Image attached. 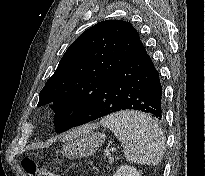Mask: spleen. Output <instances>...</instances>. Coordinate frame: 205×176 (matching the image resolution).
I'll use <instances>...</instances> for the list:
<instances>
[{
    "label": "spleen",
    "mask_w": 205,
    "mask_h": 176,
    "mask_svg": "<svg viewBox=\"0 0 205 176\" xmlns=\"http://www.w3.org/2000/svg\"><path fill=\"white\" fill-rule=\"evenodd\" d=\"M122 143L127 160L138 164L158 165L164 154L165 138L158 124L147 114L120 111L100 121Z\"/></svg>",
    "instance_id": "obj_1"
}]
</instances>
